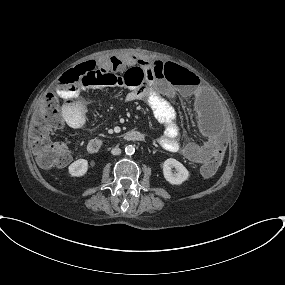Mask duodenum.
<instances>
[{
    "mask_svg": "<svg viewBox=\"0 0 285 285\" xmlns=\"http://www.w3.org/2000/svg\"><path fill=\"white\" fill-rule=\"evenodd\" d=\"M124 139L130 142H142L145 136L142 132L131 130L124 135ZM105 147V141L102 139H92L88 142L87 149L91 154L99 153Z\"/></svg>",
    "mask_w": 285,
    "mask_h": 285,
    "instance_id": "obj_1",
    "label": "duodenum"
}]
</instances>
